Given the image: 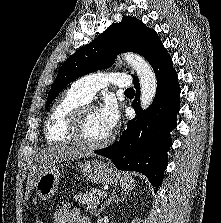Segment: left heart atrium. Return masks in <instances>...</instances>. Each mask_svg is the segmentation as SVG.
Masks as SVG:
<instances>
[{"instance_id": "39dd6f15", "label": "left heart atrium", "mask_w": 221, "mask_h": 223, "mask_svg": "<svg viewBox=\"0 0 221 223\" xmlns=\"http://www.w3.org/2000/svg\"><path fill=\"white\" fill-rule=\"evenodd\" d=\"M98 116L108 132H111L119 121L118 106L112 99H107L97 110Z\"/></svg>"}]
</instances>
